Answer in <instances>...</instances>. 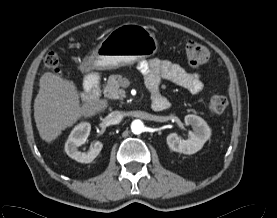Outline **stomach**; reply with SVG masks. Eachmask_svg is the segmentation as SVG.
Masks as SVG:
<instances>
[{
	"mask_svg": "<svg viewBox=\"0 0 277 218\" xmlns=\"http://www.w3.org/2000/svg\"><path fill=\"white\" fill-rule=\"evenodd\" d=\"M158 42L145 26L125 23L113 30L86 59V70H111L154 55Z\"/></svg>",
	"mask_w": 277,
	"mask_h": 218,
	"instance_id": "0dacf381",
	"label": "stomach"
}]
</instances>
